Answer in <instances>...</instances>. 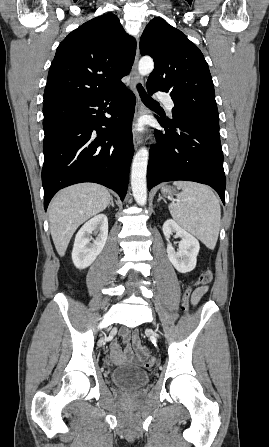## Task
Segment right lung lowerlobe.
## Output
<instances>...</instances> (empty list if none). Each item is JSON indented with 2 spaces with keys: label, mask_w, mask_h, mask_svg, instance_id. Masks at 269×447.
I'll return each instance as SVG.
<instances>
[{
  "label": "right lung lower lobe",
  "mask_w": 269,
  "mask_h": 447,
  "mask_svg": "<svg viewBox=\"0 0 269 447\" xmlns=\"http://www.w3.org/2000/svg\"><path fill=\"white\" fill-rule=\"evenodd\" d=\"M134 110L135 95L123 83L91 95L44 102L45 209L59 189L80 182L105 185L124 199L134 154ZM105 112L112 117L106 118Z\"/></svg>",
  "instance_id": "right-lung-lower-lobe-1"
}]
</instances>
